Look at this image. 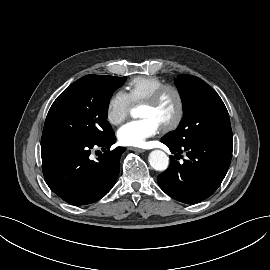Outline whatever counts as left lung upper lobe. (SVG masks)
<instances>
[{"instance_id":"5c2ea615","label":"left lung upper lobe","mask_w":270,"mask_h":270,"mask_svg":"<svg viewBox=\"0 0 270 270\" xmlns=\"http://www.w3.org/2000/svg\"><path fill=\"white\" fill-rule=\"evenodd\" d=\"M175 85L182 98L184 115L178 129L165 139L180 146L196 138L233 140L228 111L212 87L186 74L178 75Z\"/></svg>"}]
</instances>
